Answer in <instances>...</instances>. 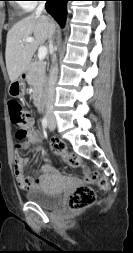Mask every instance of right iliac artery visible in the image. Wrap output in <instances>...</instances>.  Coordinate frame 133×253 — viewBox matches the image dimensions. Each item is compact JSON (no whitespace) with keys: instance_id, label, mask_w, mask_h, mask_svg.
<instances>
[{"instance_id":"1","label":"right iliac artery","mask_w":133,"mask_h":253,"mask_svg":"<svg viewBox=\"0 0 133 253\" xmlns=\"http://www.w3.org/2000/svg\"><path fill=\"white\" fill-rule=\"evenodd\" d=\"M42 126H43V128H47V126H48L47 116L43 117V119H42Z\"/></svg>"}]
</instances>
